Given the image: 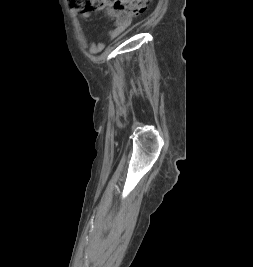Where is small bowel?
Masks as SVG:
<instances>
[{"instance_id": "1", "label": "small bowel", "mask_w": 253, "mask_h": 267, "mask_svg": "<svg viewBox=\"0 0 253 267\" xmlns=\"http://www.w3.org/2000/svg\"><path fill=\"white\" fill-rule=\"evenodd\" d=\"M107 14L111 22V27L108 29L104 40L98 42H91L88 44L87 39L83 33V30L78 22L75 19V27L77 31V36L81 45L85 48H88L90 53L97 54L105 48V43L116 39L120 36L131 24V16L121 14L116 12L114 9H107ZM84 16H88L85 14Z\"/></svg>"}]
</instances>
